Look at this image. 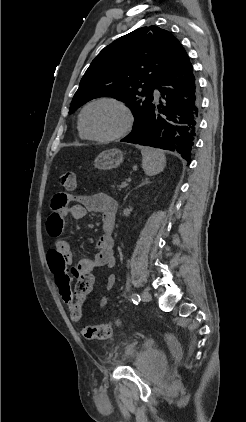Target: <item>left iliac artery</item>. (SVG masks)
Wrapping results in <instances>:
<instances>
[{
  "instance_id": "obj_1",
  "label": "left iliac artery",
  "mask_w": 246,
  "mask_h": 422,
  "mask_svg": "<svg viewBox=\"0 0 246 422\" xmlns=\"http://www.w3.org/2000/svg\"><path fill=\"white\" fill-rule=\"evenodd\" d=\"M131 299L135 304H138L140 302V296L136 293L132 294Z\"/></svg>"
}]
</instances>
